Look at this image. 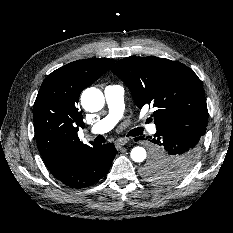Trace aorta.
Here are the masks:
<instances>
[{
  "mask_svg": "<svg viewBox=\"0 0 233 233\" xmlns=\"http://www.w3.org/2000/svg\"><path fill=\"white\" fill-rule=\"evenodd\" d=\"M103 93L94 87L87 88L81 95V104L86 111L97 112L104 107ZM131 159L134 162H143L146 159V150L143 147L137 146L131 150Z\"/></svg>",
  "mask_w": 233,
  "mask_h": 233,
  "instance_id": "obj_1",
  "label": "aorta"
}]
</instances>
